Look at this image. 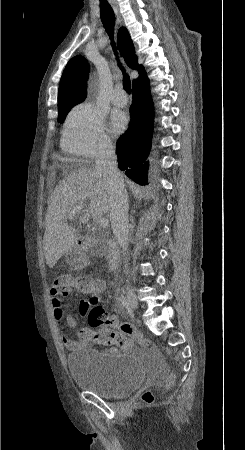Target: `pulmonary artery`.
<instances>
[{
    "instance_id": "pulmonary-artery-1",
    "label": "pulmonary artery",
    "mask_w": 245,
    "mask_h": 450,
    "mask_svg": "<svg viewBox=\"0 0 245 450\" xmlns=\"http://www.w3.org/2000/svg\"><path fill=\"white\" fill-rule=\"evenodd\" d=\"M111 101L113 104L117 106H124L127 103V96L122 89L121 85H118L114 88Z\"/></svg>"
}]
</instances>
